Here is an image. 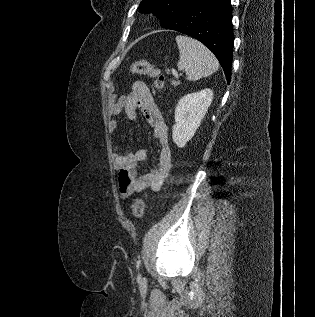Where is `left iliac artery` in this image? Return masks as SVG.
Segmentation results:
<instances>
[{"label": "left iliac artery", "mask_w": 315, "mask_h": 317, "mask_svg": "<svg viewBox=\"0 0 315 317\" xmlns=\"http://www.w3.org/2000/svg\"><path fill=\"white\" fill-rule=\"evenodd\" d=\"M140 264H141V261H140V260H138V261H137V263H136V267H137V269L139 268Z\"/></svg>", "instance_id": "left-iliac-artery-1"}]
</instances>
